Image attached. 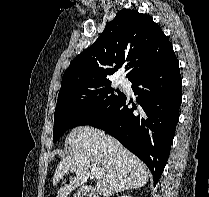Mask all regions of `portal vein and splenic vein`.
Instances as JSON below:
<instances>
[{
    "instance_id": "1",
    "label": "portal vein and splenic vein",
    "mask_w": 209,
    "mask_h": 197,
    "mask_svg": "<svg viewBox=\"0 0 209 197\" xmlns=\"http://www.w3.org/2000/svg\"><path fill=\"white\" fill-rule=\"evenodd\" d=\"M91 173L97 180H100L102 178V173L96 167L91 168Z\"/></svg>"
}]
</instances>
